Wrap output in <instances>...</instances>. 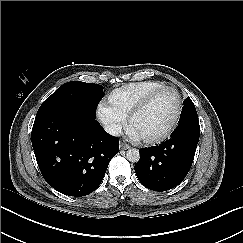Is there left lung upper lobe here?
I'll return each instance as SVG.
<instances>
[{
    "label": "left lung upper lobe",
    "instance_id": "left-lung-upper-lobe-1",
    "mask_svg": "<svg viewBox=\"0 0 243 243\" xmlns=\"http://www.w3.org/2000/svg\"><path fill=\"white\" fill-rule=\"evenodd\" d=\"M191 119H198V115L192 100L190 99V97H187L184 101V108L181 112L179 124Z\"/></svg>",
    "mask_w": 243,
    "mask_h": 243
}]
</instances>
